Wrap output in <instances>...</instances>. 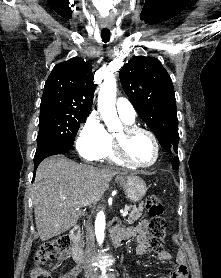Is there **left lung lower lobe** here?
<instances>
[{
	"label": "left lung lower lobe",
	"mask_w": 221,
	"mask_h": 278,
	"mask_svg": "<svg viewBox=\"0 0 221 278\" xmlns=\"http://www.w3.org/2000/svg\"><path fill=\"white\" fill-rule=\"evenodd\" d=\"M178 163H179V159H178V157H175L173 160V168L174 169L178 167Z\"/></svg>",
	"instance_id": "obj_1"
}]
</instances>
